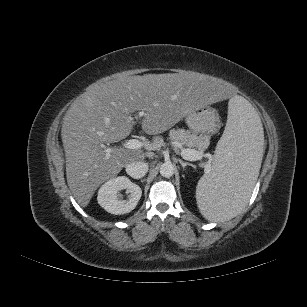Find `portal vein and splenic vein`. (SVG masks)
<instances>
[{
	"instance_id": "18ae733b",
	"label": "portal vein and splenic vein",
	"mask_w": 307,
	"mask_h": 307,
	"mask_svg": "<svg viewBox=\"0 0 307 307\" xmlns=\"http://www.w3.org/2000/svg\"><path fill=\"white\" fill-rule=\"evenodd\" d=\"M138 116L142 117L143 116V112H139ZM144 146H145V144L142 141H139L137 139H130V140L126 141L123 144V148H127V149H141ZM101 147L105 151V155H106L105 158L109 159L110 153L115 148L114 147H106L105 145H101ZM181 156L185 160L197 161V160H201L203 158V153L201 151L194 150V149L182 148L181 149ZM210 170H211V165L208 164V163L204 164V172H205V174H208L210 172Z\"/></svg>"
}]
</instances>
